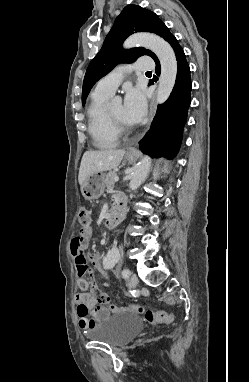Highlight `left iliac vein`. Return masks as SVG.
Masks as SVG:
<instances>
[{"instance_id":"4c4485c4","label":"left iliac vein","mask_w":249,"mask_h":382,"mask_svg":"<svg viewBox=\"0 0 249 382\" xmlns=\"http://www.w3.org/2000/svg\"><path fill=\"white\" fill-rule=\"evenodd\" d=\"M128 285H129V288H131V289H134V288L137 287V285H138V277H137L136 274H132L131 275V277L129 279Z\"/></svg>"}]
</instances>
